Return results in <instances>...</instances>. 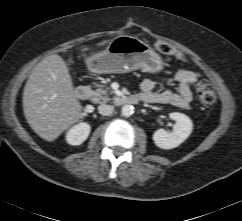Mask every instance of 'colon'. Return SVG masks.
Instances as JSON below:
<instances>
[{
	"instance_id": "5ec220e1",
	"label": "colon",
	"mask_w": 242,
	"mask_h": 221,
	"mask_svg": "<svg viewBox=\"0 0 242 221\" xmlns=\"http://www.w3.org/2000/svg\"><path fill=\"white\" fill-rule=\"evenodd\" d=\"M156 49L164 54L173 55L178 60L182 62H186L185 56L176 49L173 45L165 43V42H158L155 45ZM194 86L196 90V94L200 102L204 105H211L216 100V91L212 84L207 82L206 80L202 79L197 75Z\"/></svg>"
}]
</instances>
